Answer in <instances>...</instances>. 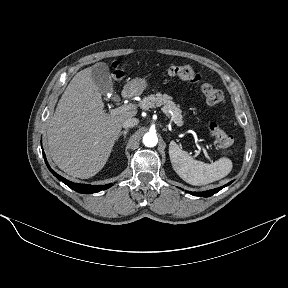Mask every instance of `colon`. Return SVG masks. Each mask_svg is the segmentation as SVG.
Segmentation results:
<instances>
[{
	"label": "colon",
	"mask_w": 288,
	"mask_h": 288,
	"mask_svg": "<svg viewBox=\"0 0 288 288\" xmlns=\"http://www.w3.org/2000/svg\"><path fill=\"white\" fill-rule=\"evenodd\" d=\"M168 74L172 77L179 78L200 86L201 92L208 105L216 107L224 103V94L221 90L209 83L202 82L201 76L190 66H171ZM115 77L121 78V73L115 71ZM209 135L214 140L215 147L222 153L228 154L232 145V138L225 133L216 123L209 125Z\"/></svg>",
	"instance_id": "colon-1"
}]
</instances>
